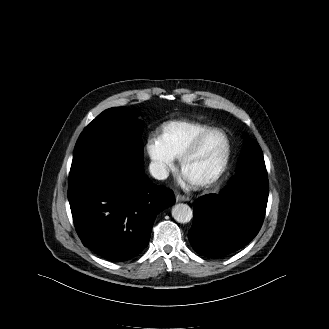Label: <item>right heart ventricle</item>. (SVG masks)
<instances>
[{
    "label": "right heart ventricle",
    "instance_id": "obj_1",
    "mask_svg": "<svg viewBox=\"0 0 329 329\" xmlns=\"http://www.w3.org/2000/svg\"><path fill=\"white\" fill-rule=\"evenodd\" d=\"M210 128L206 124L195 121H169L160 128L158 139L174 158H180L192 141Z\"/></svg>",
    "mask_w": 329,
    "mask_h": 329
}]
</instances>
